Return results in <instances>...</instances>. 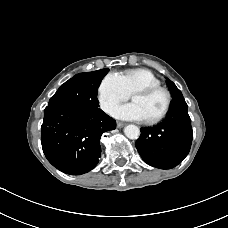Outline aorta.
<instances>
[{"instance_id":"762f6f07","label":"aorta","mask_w":228,"mask_h":228,"mask_svg":"<svg viewBox=\"0 0 228 228\" xmlns=\"http://www.w3.org/2000/svg\"><path fill=\"white\" fill-rule=\"evenodd\" d=\"M124 133L129 139H137L140 135V129L136 125H128L124 128Z\"/></svg>"}]
</instances>
